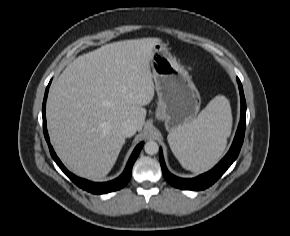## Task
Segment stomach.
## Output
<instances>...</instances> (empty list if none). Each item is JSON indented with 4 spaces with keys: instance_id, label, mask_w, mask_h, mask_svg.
Returning <instances> with one entry per match:
<instances>
[{
    "instance_id": "obj_1",
    "label": "stomach",
    "mask_w": 290,
    "mask_h": 236,
    "mask_svg": "<svg viewBox=\"0 0 290 236\" xmlns=\"http://www.w3.org/2000/svg\"><path fill=\"white\" fill-rule=\"evenodd\" d=\"M150 65L158 95L155 117L165 122L169 133L176 132L197 118L200 94L189 73L178 64L166 44L157 43Z\"/></svg>"
}]
</instances>
